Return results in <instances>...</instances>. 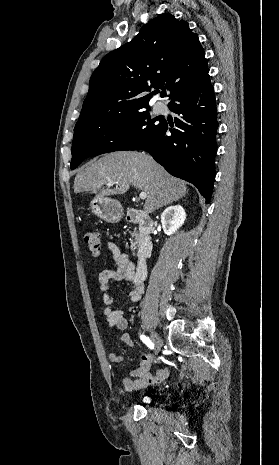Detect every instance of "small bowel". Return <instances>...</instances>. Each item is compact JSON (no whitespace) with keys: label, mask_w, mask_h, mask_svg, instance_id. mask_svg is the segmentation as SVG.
I'll return each instance as SVG.
<instances>
[{"label":"small bowel","mask_w":279,"mask_h":465,"mask_svg":"<svg viewBox=\"0 0 279 465\" xmlns=\"http://www.w3.org/2000/svg\"><path fill=\"white\" fill-rule=\"evenodd\" d=\"M107 248L111 253L114 269L103 270L98 277L99 291L103 294V300L106 305L102 310V314L111 329L125 331L128 321L123 310L113 308L114 297L111 294V282H130L132 289L129 293V300L132 303L140 300L144 286L143 282L134 281L135 265L129 260L128 255L123 253L118 245L112 241L107 242ZM121 341L130 348L134 347V342L127 332L122 333ZM108 358L115 365H119L122 362V356L115 351H111ZM153 358V355L150 353H143L139 356L138 367L132 370L128 377L122 379V386L125 391L142 389L149 385L160 383L168 377L169 369L166 367L157 370L155 373L150 372Z\"/></svg>","instance_id":"1"}]
</instances>
